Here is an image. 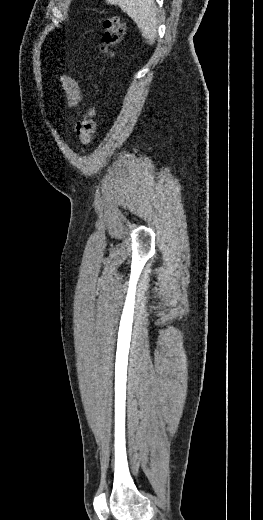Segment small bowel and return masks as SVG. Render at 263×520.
<instances>
[{
    "label": "small bowel",
    "instance_id": "obj_1",
    "mask_svg": "<svg viewBox=\"0 0 263 520\" xmlns=\"http://www.w3.org/2000/svg\"><path fill=\"white\" fill-rule=\"evenodd\" d=\"M61 85L66 93V99L70 106H75L80 102L81 94L77 82L68 76H62Z\"/></svg>",
    "mask_w": 263,
    "mask_h": 520
}]
</instances>
